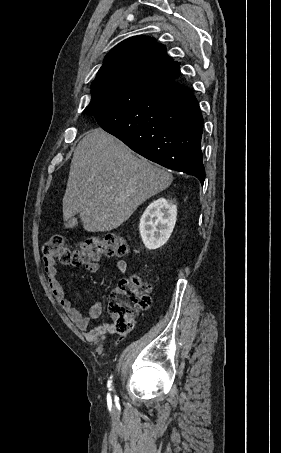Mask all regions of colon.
I'll use <instances>...</instances> for the list:
<instances>
[{"instance_id": "obj_1", "label": "colon", "mask_w": 281, "mask_h": 453, "mask_svg": "<svg viewBox=\"0 0 281 453\" xmlns=\"http://www.w3.org/2000/svg\"><path fill=\"white\" fill-rule=\"evenodd\" d=\"M134 249L125 241L116 238H84L78 246L70 248L62 234H53L46 243L43 260L47 262H97L102 257H130ZM123 302L113 306L118 328H132L134 313L146 311L151 302V285L138 277L122 278L118 283Z\"/></svg>"}]
</instances>
